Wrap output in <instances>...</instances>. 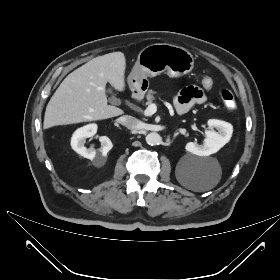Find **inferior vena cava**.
I'll return each mask as SVG.
<instances>
[{"instance_id":"1","label":"inferior vena cava","mask_w":280,"mask_h":280,"mask_svg":"<svg viewBox=\"0 0 280 280\" xmlns=\"http://www.w3.org/2000/svg\"><path fill=\"white\" fill-rule=\"evenodd\" d=\"M121 124L131 130L141 129L142 122L133 116H123L120 118Z\"/></svg>"}]
</instances>
